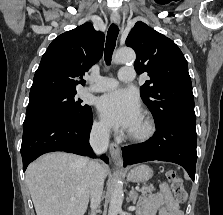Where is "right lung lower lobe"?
<instances>
[{"label": "right lung lower lobe", "instance_id": "98d812e1", "mask_svg": "<svg viewBox=\"0 0 223 215\" xmlns=\"http://www.w3.org/2000/svg\"><path fill=\"white\" fill-rule=\"evenodd\" d=\"M93 117L85 122L68 120H45L23 126L21 155L23 171L40 155L64 151L83 156L95 157L89 144ZM105 162L106 156L101 157Z\"/></svg>", "mask_w": 223, "mask_h": 215}]
</instances>
